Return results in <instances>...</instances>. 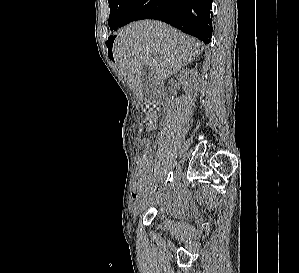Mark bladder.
I'll return each mask as SVG.
<instances>
[{"label": "bladder", "instance_id": "1", "mask_svg": "<svg viewBox=\"0 0 299 273\" xmlns=\"http://www.w3.org/2000/svg\"><path fill=\"white\" fill-rule=\"evenodd\" d=\"M158 217L163 224L168 226L176 224L181 219L180 214L169 208L160 209Z\"/></svg>", "mask_w": 299, "mask_h": 273}]
</instances>
